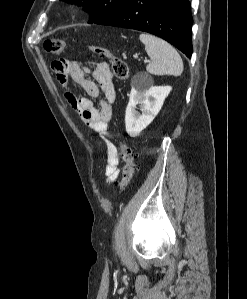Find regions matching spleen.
I'll list each match as a JSON object with an SVG mask.
<instances>
[{"label":"spleen","instance_id":"3e777b00","mask_svg":"<svg viewBox=\"0 0 247 299\" xmlns=\"http://www.w3.org/2000/svg\"><path fill=\"white\" fill-rule=\"evenodd\" d=\"M151 61L146 70L153 75L179 76L183 72V61L176 49L168 42L150 34L139 35Z\"/></svg>","mask_w":247,"mask_h":299}]
</instances>
